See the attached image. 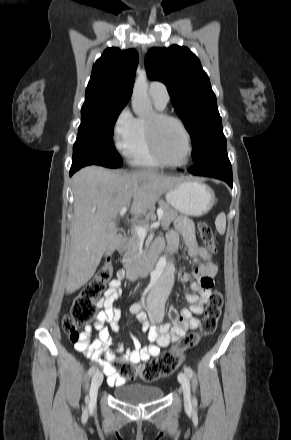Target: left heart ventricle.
<instances>
[{
	"label": "left heart ventricle",
	"instance_id": "obj_1",
	"mask_svg": "<svg viewBox=\"0 0 291 440\" xmlns=\"http://www.w3.org/2000/svg\"><path fill=\"white\" fill-rule=\"evenodd\" d=\"M152 114L147 117L151 118ZM157 144L162 156L169 162H183L187 155L186 137L181 128L172 121H165L158 126Z\"/></svg>",
	"mask_w": 291,
	"mask_h": 440
}]
</instances>
